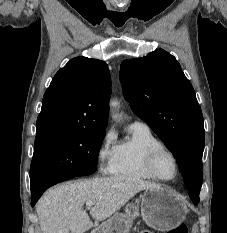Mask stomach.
Returning <instances> with one entry per match:
<instances>
[{
  "label": "stomach",
  "instance_id": "obj_1",
  "mask_svg": "<svg viewBox=\"0 0 227 233\" xmlns=\"http://www.w3.org/2000/svg\"><path fill=\"white\" fill-rule=\"evenodd\" d=\"M187 212L184 201L172 191L162 187L146 189L138 202L128 204L125 213L114 214L98 233H128L139 214L149 226L168 232L183 222Z\"/></svg>",
  "mask_w": 227,
  "mask_h": 233
}]
</instances>
